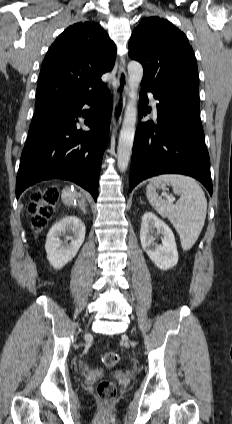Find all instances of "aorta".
Listing matches in <instances>:
<instances>
[{
	"instance_id": "762f6f07",
	"label": "aorta",
	"mask_w": 232,
	"mask_h": 424,
	"mask_svg": "<svg viewBox=\"0 0 232 424\" xmlns=\"http://www.w3.org/2000/svg\"><path fill=\"white\" fill-rule=\"evenodd\" d=\"M127 69L129 98L117 147V164L122 172L127 169L132 153L137 117V90L143 77V67L140 63L131 61Z\"/></svg>"
}]
</instances>
